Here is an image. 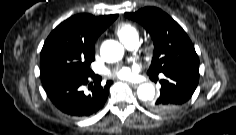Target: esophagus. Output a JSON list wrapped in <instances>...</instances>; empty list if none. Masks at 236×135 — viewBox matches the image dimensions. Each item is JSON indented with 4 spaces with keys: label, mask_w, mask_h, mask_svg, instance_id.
I'll use <instances>...</instances> for the list:
<instances>
[{
    "label": "esophagus",
    "mask_w": 236,
    "mask_h": 135,
    "mask_svg": "<svg viewBox=\"0 0 236 135\" xmlns=\"http://www.w3.org/2000/svg\"><path fill=\"white\" fill-rule=\"evenodd\" d=\"M129 85H131L132 87H137L139 84L138 83H134V82H128Z\"/></svg>",
    "instance_id": "esophagus-1"
}]
</instances>
